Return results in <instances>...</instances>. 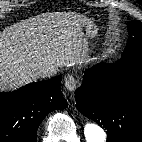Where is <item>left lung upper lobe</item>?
I'll return each mask as SVG.
<instances>
[{"mask_svg": "<svg viewBox=\"0 0 142 142\" xmlns=\"http://www.w3.org/2000/svg\"><path fill=\"white\" fill-rule=\"evenodd\" d=\"M129 39L120 60H142V23L140 21L128 22Z\"/></svg>", "mask_w": 142, "mask_h": 142, "instance_id": "left-lung-upper-lobe-1", "label": "left lung upper lobe"}]
</instances>
